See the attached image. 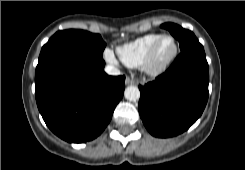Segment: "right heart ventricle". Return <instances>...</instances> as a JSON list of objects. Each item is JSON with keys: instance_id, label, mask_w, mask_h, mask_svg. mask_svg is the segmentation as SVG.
Wrapping results in <instances>:
<instances>
[{"instance_id": "1", "label": "right heart ventricle", "mask_w": 245, "mask_h": 170, "mask_svg": "<svg viewBox=\"0 0 245 170\" xmlns=\"http://www.w3.org/2000/svg\"><path fill=\"white\" fill-rule=\"evenodd\" d=\"M159 36L147 34L117 47L120 60L129 67L140 66L146 52Z\"/></svg>"}]
</instances>
